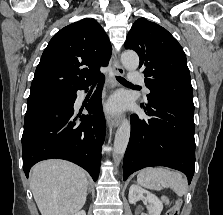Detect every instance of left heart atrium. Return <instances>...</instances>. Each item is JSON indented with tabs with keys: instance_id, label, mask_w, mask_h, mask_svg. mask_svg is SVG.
I'll return each mask as SVG.
<instances>
[{
	"instance_id": "obj_1",
	"label": "left heart atrium",
	"mask_w": 223,
	"mask_h": 215,
	"mask_svg": "<svg viewBox=\"0 0 223 215\" xmlns=\"http://www.w3.org/2000/svg\"><path fill=\"white\" fill-rule=\"evenodd\" d=\"M124 106H125V100L121 97H115L110 102V108L111 109L120 110V109L124 108Z\"/></svg>"
}]
</instances>
